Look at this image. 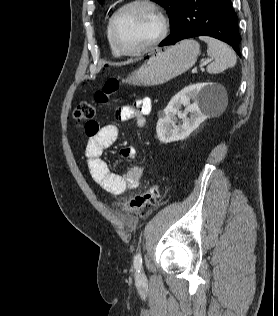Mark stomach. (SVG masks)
<instances>
[{
	"label": "stomach",
	"mask_w": 278,
	"mask_h": 316,
	"mask_svg": "<svg viewBox=\"0 0 278 316\" xmlns=\"http://www.w3.org/2000/svg\"><path fill=\"white\" fill-rule=\"evenodd\" d=\"M199 54L200 46L196 41H181L148 57L139 69L123 81L137 86L163 84L190 69Z\"/></svg>",
	"instance_id": "0dacf381"
}]
</instances>
